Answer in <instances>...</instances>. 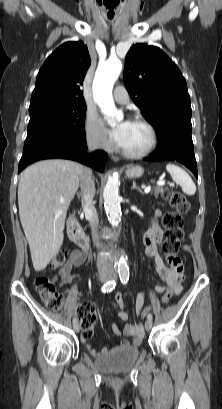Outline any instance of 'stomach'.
I'll list each match as a JSON object with an SVG mask.
<instances>
[{
    "label": "stomach",
    "mask_w": 222,
    "mask_h": 409,
    "mask_svg": "<svg viewBox=\"0 0 222 409\" xmlns=\"http://www.w3.org/2000/svg\"><path fill=\"white\" fill-rule=\"evenodd\" d=\"M144 173V169L141 166H132L126 170V174L131 178L141 177Z\"/></svg>",
    "instance_id": "1"
}]
</instances>
